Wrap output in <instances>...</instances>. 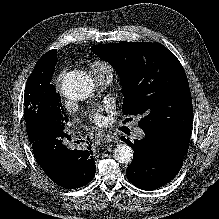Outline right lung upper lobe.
I'll return each mask as SVG.
<instances>
[{"instance_id": "1", "label": "right lung upper lobe", "mask_w": 219, "mask_h": 219, "mask_svg": "<svg viewBox=\"0 0 219 219\" xmlns=\"http://www.w3.org/2000/svg\"><path fill=\"white\" fill-rule=\"evenodd\" d=\"M47 53H52V54H54V55H55V59H57V57H56L57 50H51V51H49V52H47ZM45 54H46V53H45Z\"/></svg>"}]
</instances>
